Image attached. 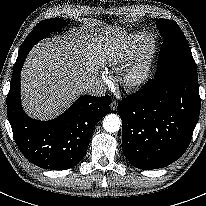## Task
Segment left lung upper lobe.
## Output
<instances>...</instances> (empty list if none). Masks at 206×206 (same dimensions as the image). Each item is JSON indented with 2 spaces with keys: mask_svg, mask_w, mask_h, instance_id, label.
I'll return each instance as SVG.
<instances>
[{
  "mask_svg": "<svg viewBox=\"0 0 206 206\" xmlns=\"http://www.w3.org/2000/svg\"><path fill=\"white\" fill-rule=\"evenodd\" d=\"M156 24L164 38L159 53L158 70L155 76L165 74H185L197 76V68L187 40L172 20L157 19Z\"/></svg>",
  "mask_w": 206,
  "mask_h": 206,
  "instance_id": "left-lung-upper-lobe-1",
  "label": "left lung upper lobe"
}]
</instances>
